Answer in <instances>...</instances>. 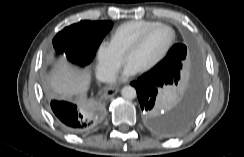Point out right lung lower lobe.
Here are the masks:
<instances>
[{
	"label": "right lung lower lobe",
	"mask_w": 244,
	"mask_h": 157,
	"mask_svg": "<svg viewBox=\"0 0 244 157\" xmlns=\"http://www.w3.org/2000/svg\"><path fill=\"white\" fill-rule=\"evenodd\" d=\"M50 105L58 122L68 132L83 134L93 128L94 116L84 108L57 100H52Z\"/></svg>",
	"instance_id": "1"
}]
</instances>
